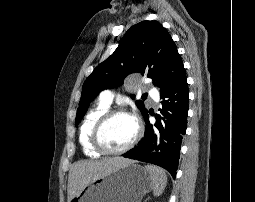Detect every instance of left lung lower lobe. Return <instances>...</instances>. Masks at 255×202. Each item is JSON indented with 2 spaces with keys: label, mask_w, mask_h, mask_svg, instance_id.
<instances>
[{
  "label": "left lung lower lobe",
  "mask_w": 255,
  "mask_h": 202,
  "mask_svg": "<svg viewBox=\"0 0 255 202\" xmlns=\"http://www.w3.org/2000/svg\"><path fill=\"white\" fill-rule=\"evenodd\" d=\"M163 99L156 123L149 122L148 111L144 138L124 157L152 163L166 169L175 179L182 138L186 133L189 90L185 71L169 88L160 92Z\"/></svg>",
  "instance_id": "1"
}]
</instances>
